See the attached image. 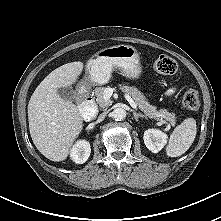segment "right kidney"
<instances>
[{
    "label": "right kidney",
    "instance_id": "1",
    "mask_svg": "<svg viewBox=\"0 0 221 221\" xmlns=\"http://www.w3.org/2000/svg\"><path fill=\"white\" fill-rule=\"evenodd\" d=\"M90 153V143L86 140H80L71 149L70 157L75 163L82 164L88 160Z\"/></svg>",
    "mask_w": 221,
    "mask_h": 221
}]
</instances>
